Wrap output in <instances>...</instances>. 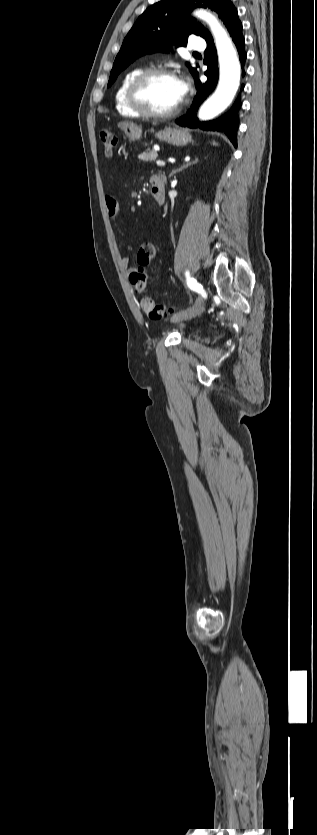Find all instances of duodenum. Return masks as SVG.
<instances>
[{
    "mask_svg": "<svg viewBox=\"0 0 317 835\" xmlns=\"http://www.w3.org/2000/svg\"><path fill=\"white\" fill-rule=\"evenodd\" d=\"M151 194L158 204H163L165 198V188L161 180L153 179Z\"/></svg>",
    "mask_w": 317,
    "mask_h": 835,
    "instance_id": "410a0bca",
    "label": "duodenum"
}]
</instances>
